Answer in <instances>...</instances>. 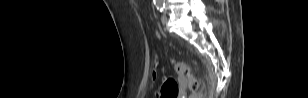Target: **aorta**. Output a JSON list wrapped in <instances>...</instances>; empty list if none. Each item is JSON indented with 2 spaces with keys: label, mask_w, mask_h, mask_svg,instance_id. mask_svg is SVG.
<instances>
[{
  "label": "aorta",
  "mask_w": 308,
  "mask_h": 98,
  "mask_svg": "<svg viewBox=\"0 0 308 98\" xmlns=\"http://www.w3.org/2000/svg\"><path fill=\"white\" fill-rule=\"evenodd\" d=\"M155 2H156L158 5H162V4H163V0H155Z\"/></svg>",
  "instance_id": "obj_1"
}]
</instances>
